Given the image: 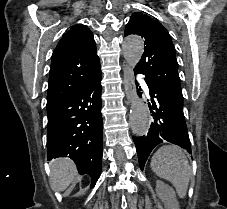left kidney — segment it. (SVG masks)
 Masks as SVG:
<instances>
[{
  "instance_id": "1",
  "label": "left kidney",
  "mask_w": 227,
  "mask_h": 209,
  "mask_svg": "<svg viewBox=\"0 0 227 209\" xmlns=\"http://www.w3.org/2000/svg\"><path fill=\"white\" fill-rule=\"evenodd\" d=\"M156 193L157 197L161 199L165 209H179V203L172 187L165 185V183H162V181H157Z\"/></svg>"
}]
</instances>
